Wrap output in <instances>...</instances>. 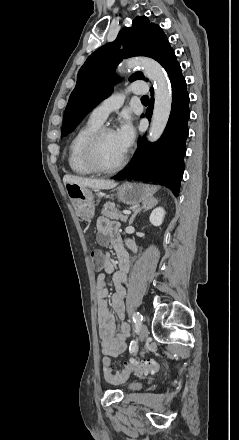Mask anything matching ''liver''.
<instances>
[{"label":"liver","instance_id":"liver-1","mask_svg":"<svg viewBox=\"0 0 239 440\" xmlns=\"http://www.w3.org/2000/svg\"><path fill=\"white\" fill-rule=\"evenodd\" d=\"M64 184H76L80 188H92V190H111L117 184L111 180H92V178H82V176H64Z\"/></svg>","mask_w":239,"mask_h":440}]
</instances>
